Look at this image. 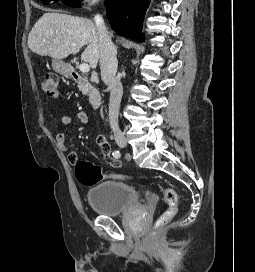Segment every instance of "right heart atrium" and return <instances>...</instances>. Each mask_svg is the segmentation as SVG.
Wrapping results in <instances>:
<instances>
[{
  "label": "right heart atrium",
  "mask_w": 255,
  "mask_h": 272,
  "mask_svg": "<svg viewBox=\"0 0 255 272\" xmlns=\"http://www.w3.org/2000/svg\"><path fill=\"white\" fill-rule=\"evenodd\" d=\"M99 0H76V4L80 6L93 5L98 3Z\"/></svg>",
  "instance_id": "obj_1"
}]
</instances>
